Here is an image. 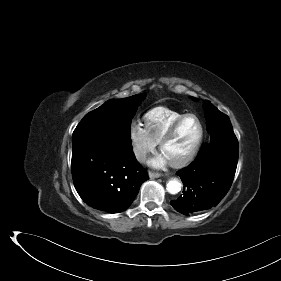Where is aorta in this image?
I'll return each mask as SVG.
<instances>
[{
    "instance_id": "1",
    "label": "aorta",
    "mask_w": 281,
    "mask_h": 281,
    "mask_svg": "<svg viewBox=\"0 0 281 281\" xmlns=\"http://www.w3.org/2000/svg\"><path fill=\"white\" fill-rule=\"evenodd\" d=\"M166 189L170 194H177L181 190V183L177 179H172L167 183Z\"/></svg>"
}]
</instances>
